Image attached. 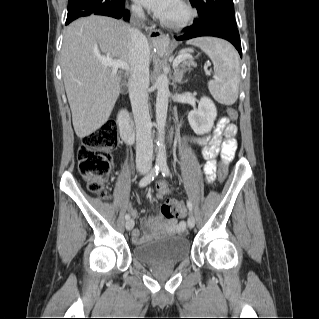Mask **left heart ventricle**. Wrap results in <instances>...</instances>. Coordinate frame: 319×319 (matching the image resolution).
<instances>
[{
  "mask_svg": "<svg viewBox=\"0 0 319 319\" xmlns=\"http://www.w3.org/2000/svg\"><path fill=\"white\" fill-rule=\"evenodd\" d=\"M181 14L182 10L178 4V0H173L166 13L163 15V17L176 18L179 17Z\"/></svg>",
  "mask_w": 319,
  "mask_h": 319,
  "instance_id": "1",
  "label": "left heart ventricle"
}]
</instances>
